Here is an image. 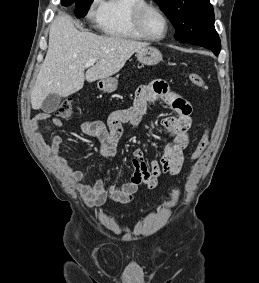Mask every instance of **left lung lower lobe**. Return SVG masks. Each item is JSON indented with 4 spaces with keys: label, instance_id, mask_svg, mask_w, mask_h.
Segmentation results:
<instances>
[{
    "label": "left lung lower lobe",
    "instance_id": "obj_1",
    "mask_svg": "<svg viewBox=\"0 0 259 283\" xmlns=\"http://www.w3.org/2000/svg\"><path fill=\"white\" fill-rule=\"evenodd\" d=\"M191 44L194 45H199L202 47H205L207 49H210L213 51L215 55H218L221 49V44H220V39L217 38L215 40H210V41H199V42H193Z\"/></svg>",
    "mask_w": 259,
    "mask_h": 283
}]
</instances>
